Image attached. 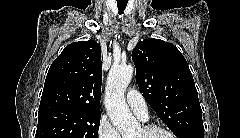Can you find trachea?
I'll use <instances>...</instances> for the list:
<instances>
[{
	"label": "trachea",
	"instance_id": "3493384b",
	"mask_svg": "<svg viewBox=\"0 0 240 138\" xmlns=\"http://www.w3.org/2000/svg\"><path fill=\"white\" fill-rule=\"evenodd\" d=\"M126 4H118V10H119V14H123V11L126 8Z\"/></svg>",
	"mask_w": 240,
	"mask_h": 138
}]
</instances>
